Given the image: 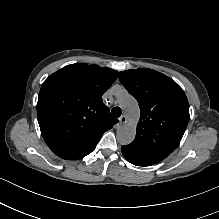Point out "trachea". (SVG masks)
<instances>
[{"label":"trachea","mask_w":219,"mask_h":219,"mask_svg":"<svg viewBox=\"0 0 219 219\" xmlns=\"http://www.w3.org/2000/svg\"><path fill=\"white\" fill-rule=\"evenodd\" d=\"M111 114L114 116V117H120L121 116V114H122V111H121V109L119 108V107H114V108H112V110H111Z\"/></svg>","instance_id":"obj_1"}]
</instances>
